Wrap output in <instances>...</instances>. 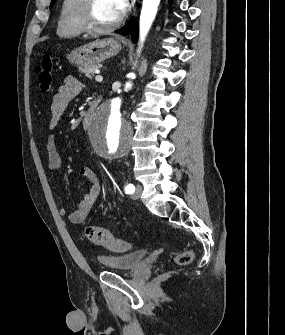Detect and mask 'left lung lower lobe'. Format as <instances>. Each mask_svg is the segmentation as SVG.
<instances>
[{
  "instance_id": "0a47b994",
  "label": "left lung lower lobe",
  "mask_w": 285,
  "mask_h": 335,
  "mask_svg": "<svg viewBox=\"0 0 285 335\" xmlns=\"http://www.w3.org/2000/svg\"><path fill=\"white\" fill-rule=\"evenodd\" d=\"M116 32L119 33V34L131 33L132 41L136 42L137 37H138V24L136 23V21H133V18H131L125 26L118 29Z\"/></svg>"
}]
</instances>
